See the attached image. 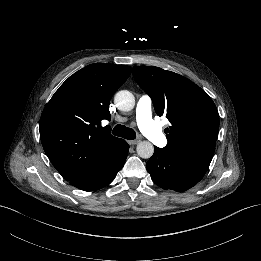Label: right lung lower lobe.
Instances as JSON below:
<instances>
[{
    "instance_id": "98d812e1",
    "label": "right lung lower lobe",
    "mask_w": 261,
    "mask_h": 261,
    "mask_svg": "<svg viewBox=\"0 0 261 261\" xmlns=\"http://www.w3.org/2000/svg\"><path fill=\"white\" fill-rule=\"evenodd\" d=\"M128 150V143L126 141L121 142L101 165L69 182L84 191H95L107 186L123 167Z\"/></svg>"
}]
</instances>
